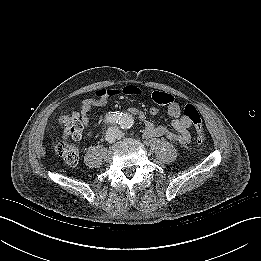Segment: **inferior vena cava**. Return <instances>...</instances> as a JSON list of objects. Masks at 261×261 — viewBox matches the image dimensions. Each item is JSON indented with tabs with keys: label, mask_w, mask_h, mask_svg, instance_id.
<instances>
[{
	"label": "inferior vena cava",
	"mask_w": 261,
	"mask_h": 261,
	"mask_svg": "<svg viewBox=\"0 0 261 261\" xmlns=\"http://www.w3.org/2000/svg\"><path fill=\"white\" fill-rule=\"evenodd\" d=\"M120 131L115 127H109L106 132V139L109 142H114L116 139L120 138Z\"/></svg>",
	"instance_id": "obj_1"
}]
</instances>
